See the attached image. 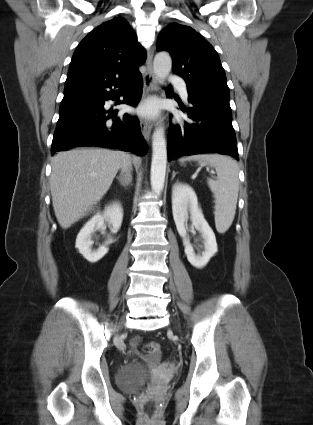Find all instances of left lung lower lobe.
Masks as SVG:
<instances>
[{"instance_id": "1", "label": "left lung lower lobe", "mask_w": 313, "mask_h": 425, "mask_svg": "<svg viewBox=\"0 0 313 425\" xmlns=\"http://www.w3.org/2000/svg\"><path fill=\"white\" fill-rule=\"evenodd\" d=\"M188 101L191 106L180 109L187 112L189 122L170 126L168 160L202 153L224 154L239 160L229 98L188 89Z\"/></svg>"}]
</instances>
